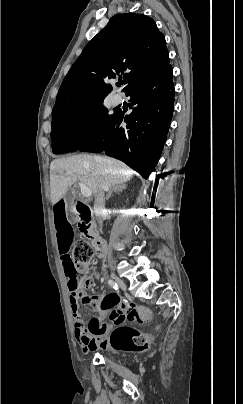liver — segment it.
Instances as JSON below:
<instances>
[{
    "label": "liver",
    "mask_w": 243,
    "mask_h": 404,
    "mask_svg": "<svg viewBox=\"0 0 243 404\" xmlns=\"http://www.w3.org/2000/svg\"><path fill=\"white\" fill-rule=\"evenodd\" d=\"M133 170L123 162L108 156H70L59 158L50 164V190L52 204H57L65 196L69 186L81 182L90 188L94 196L102 190L99 180L102 178L107 190L120 186L132 178Z\"/></svg>",
    "instance_id": "6515ba94"
}]
</instances>
